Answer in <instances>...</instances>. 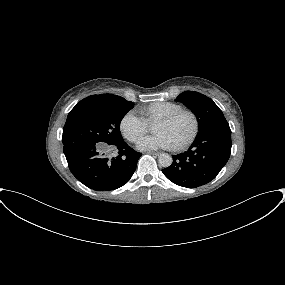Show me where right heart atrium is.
Returning <instances> with one entry per match:
<instances>
[{"label":"right heart atrium","instance_id":"right-heart-atrium-1","mask_svg":"<svg viewBox=\"0 0 285 285\" xmlns=\"http://www.w3.org/2000/svg\"><path fill=\"white\" fill-rule=\"evenodd\" d=\"M120 129L123 135L131 142H135L144 135L148 129V122L134 111L127 112L120 122Z\"/></svg>","mask_w":285,"mask_h":285}]
</instances>
